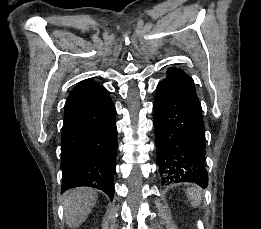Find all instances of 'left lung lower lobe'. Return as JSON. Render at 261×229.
<instances>
[{"label":"left lung lower lobe","mask_w":261,"mask_h":229,"mask_svg":"<svg viewBox=\"0 0 261 229\" xmlns=\"http://www.w3.org/2000/svg\"><path fill=\"white\" fill-rule=\"evenodd\" d=\"M167 74L154 101L158 172L164 179L206 187L205 131L194 82L178 68H168Z\"/></svg>","instance_id":"1"}]
</instances>
